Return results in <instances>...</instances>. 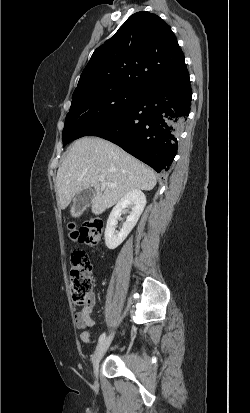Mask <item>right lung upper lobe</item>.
Here are the masks:
<instances>
[{"mask_svg": "<svg viewBox=\"0 0 250 413\" xmlns=\"http://www.w3.org/2000/svg\"><path fill=\"white\" fill-rule=\"evenodd\" d=\"M187 75L184 54L170 26L141 11L94 51L74 93L113 87L142 90L156 83L179 82Z\"/></svg>", "mask_w": 250, "mask_h": 413, "instance_id": "1", "label": "right lung upper lobe"}]
</instances>
